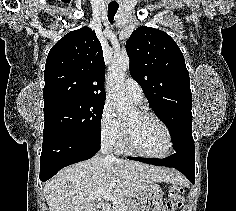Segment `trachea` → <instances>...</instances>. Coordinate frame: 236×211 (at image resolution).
<instances>
[{
    "label": "trachea",
    "mask_w": 236,
    "mask_h": 211,
    "mask_svg": "<svg viewBox=\"0 0 236 211\" xmlns=\"http://www.w3.org/2000/svg\"><path fill=\"white\" fill-rule=\"evenodd\" d=\"M118 10V6H108V20L113 24L114 16Z\"/></svg>",
    "instance_id": "obj_1"
}]
</instances>
